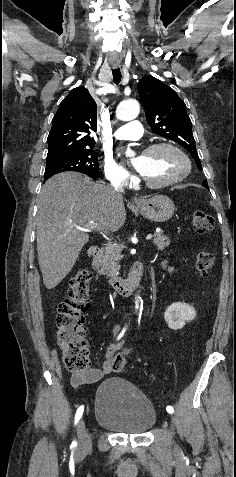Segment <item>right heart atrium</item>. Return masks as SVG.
<instances>
[{
	"mask_svg": "<svg viewBox=\"0 0 236 477\" xmlns=\"http://www.w3.org/2000/svg\"><path fill=\"white\" fill-rule=\"evenodd\" d=\"M104 174L110 183L118 185L126 184L131 179L129 172L111 157L104 160Z\"/></svg>",
	"mask_w": 236,
	"mask_h": 477,
	"instance_id": "d8ad5b80",
	"label": "right heart atrium"
}]
</instances>
